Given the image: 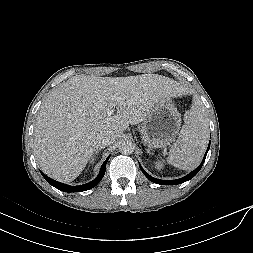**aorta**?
Instances as JSON below:
<instances>
[{
    "label": "aorta",
    "mask_w": 253,
    "mask_h": 253,
    "mask_svg": "<svg viewBox=\"0 0 253 253\" xmlns=\"http://www.w3.org/2000/svg\"><path fill=\"white\" fill-rule=\"evenodd\" d=\"M118 148H119L120 153L129 155L134 152L135 144L132 140L124 139L119 142Z\"/></svg>",
    "instance_id": "obj_1"
}]
</instances>
